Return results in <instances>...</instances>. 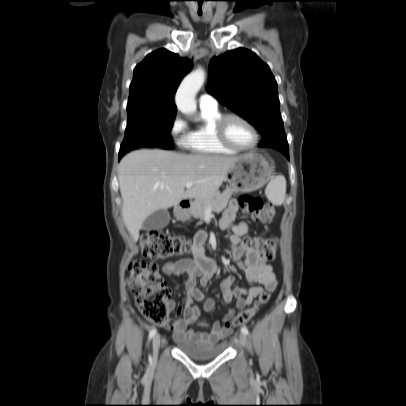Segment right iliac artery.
I'll return each instance as SVG.
<instances>
[{
    "instance_id": "obj_1",
    "label": "right iliac artery",
    "mask_w": 406,
    "mask_h": 406,
    "mask_svg": "<svg viewBox=\"0 0 406 406\" xmlns=\"http://www.w3.org/2000/svg\"><path fill=\"white\" fill-rule=\"evenodd\" d=\"M157 330L155 328H152L149 332V336H148V341H150L153 336L156 334Z\"/></svg>"
}]
</instances>
